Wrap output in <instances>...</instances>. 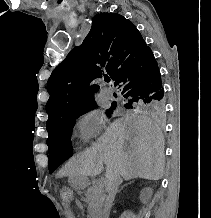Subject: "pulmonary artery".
<instances>
[{
	"label": "pulmonary artery",
	"instance_id": "1",
	"mask_svg": "<svg viewBox=\"0 0 211 218\" xmlns=\"http://www.w3.org/2000/svg\"><path fill=\"white\" fill-rule=\"evenodd\" d=\"M101 95L105 99H110V98L113 97L114 92H113V90L110 87L105 86L101 90Z\"/></svg>",
	"mask_w": 211,
	"mask_h": 218
}]
</instances>
